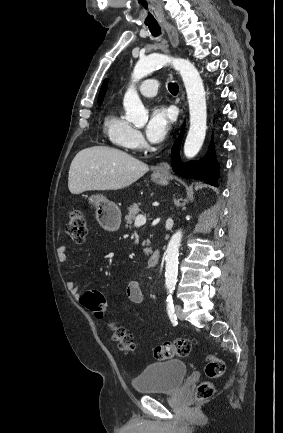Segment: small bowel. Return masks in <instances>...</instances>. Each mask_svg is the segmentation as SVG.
<instances>
[{
    "instance_id": "c3829d8e",
    "label": "small bowel",
    "mask_w": 283,
    "mask_h": 433,
    "mask_svg": "<svg viewBox=\"0 0 283 433\" xmlns=\"http://www.w3.org/2000/svg\"><path fill=\"white\" fill-rule=\"evenodd\" d=\"M57 258L61 264H65L68 261L67 247L61 245L57 248ZM67 288L76 300L81 299V293L75 281L68 280ZM126 294L129 300L134 304H141L144 300L141 286L137 281H130L126 288Z\"/></svg>"
}]
</instances>
